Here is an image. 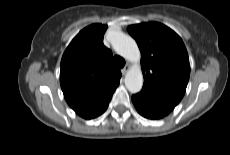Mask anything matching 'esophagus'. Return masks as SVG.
I'll list each match as a JSON object with an SVG mask.
<instances>
[{
  "mask_svg": "<svg viewBox=\"0 0 230 155\" xmlns=\"http://www.w3.org/2000/svg\"><path fill=\"white\" fill-rule=\"evenodd\" d=\"M130 67H131V63L128 62V63L125 65V67L121 70L122 73H123V74H126L127 71L130 69Z\"/></svg>",
  "mask_w": 230,
  "mask_h": 155,
  "instance_id": "34e87169",
  "label": "esophagus"
}]
</instances>
